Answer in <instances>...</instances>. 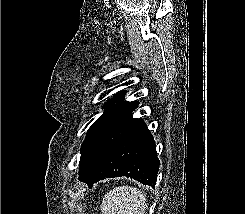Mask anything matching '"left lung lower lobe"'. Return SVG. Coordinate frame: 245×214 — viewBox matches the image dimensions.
Returning a JSON list of instances; mask_svg holds the SVG:
<instances>
[{"label":"left lung lower lobe","instance_id":"left-lung-lower-lobe-1","mask_svg":"<svg viewBox=\"0 0 245 214\" xmlns=\"http://www.w3.org/2000/svg\"><path fill=\"white\" fill-rule=\"evenodd\" d=\"M131 109L107 127L81 154L79 180L90 188L110 177L126 176L154 187L159 170L155 141Z\"/></svg>","mask_w":245,"mask_h":214}]
</instances>
